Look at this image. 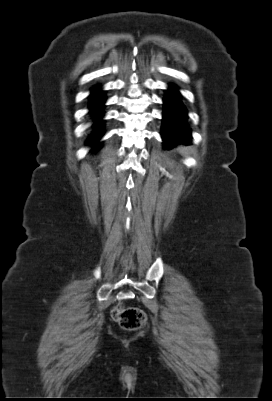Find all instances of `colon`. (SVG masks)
<instances>
[{"instance_id": "obj_1", "label": "colon", "mask_w": 272, "mask_h": 401, "mask_svg": "<svg viewBox=\"0 0 272 401\" xmlns=\"http://www.w3.org/2000/svg\"><path fill=\"white\" fill-rule=\"evenodd\" d=\"M111 317L124 329L136 330L146 323V315L137 307L116 305L111 310Z\"/></svg>"}]
</instances>
